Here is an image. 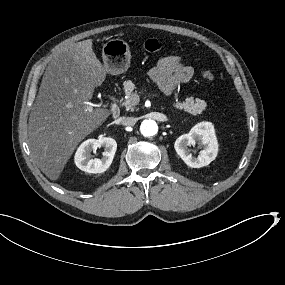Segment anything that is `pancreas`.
Wrapping results in <instances>:
<instances>
[{"label": "pancreas", "mask_w": 285, "mask_h": 285, "mask_svg": "<svg viewBox=\"0 0 285 285\" xmlns=\"http://www.w3.org/2000/svg\"><path fill=\"white\" fill-rule=\"evenodd\" d=\"M124 92L126 96L131 97L134 94V89H136L137 84L131 80H125L122 83ZM205 102L199 98L187 97L184 101L174 102L172 106L176 109L184 110L185 112L191 114L192 116H196L200 114L205 108Z\"/></svg>", "instance_id": "cf45deb5"}]
</instances>
